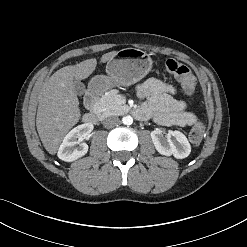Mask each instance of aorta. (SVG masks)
<instances>
[{
    "label": "aorta",
    "mask_w": 247,
    "mask_h": 247,
    "mask_svg": "<svg viewBox=\"0 0 247 247\" xmlns=\"http://www.w3.org/2000/svg\"><path fill=\"white\" fill-rule=\"evenodd\" d=\"M122 122H123V124H125V125H131V124L133 123V118H132L130 115L124 116V117L122 118Z\"/></svg>",
    "instance_id": "obj_1"
}]
</instances>
